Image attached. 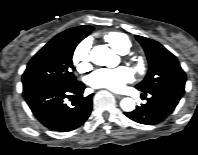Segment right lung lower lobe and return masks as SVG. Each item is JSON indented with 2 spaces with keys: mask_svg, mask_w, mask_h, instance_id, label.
<instances>
[{
  "mask_svg": "<svg viewBox=\"0 0 198 155\" xmlns=\"http://www.w3.org/2000/svg\"><path fill=\"white\" fill-rule=\"evenodd\" d=\"M85 86L77 82L63 86L50 82L23 84V96L35 117L48 129L69 132L81 126L92 110L93 94L83 97ZM65 98L73 100L70 106Z\"/></svg>",
  "mask_w": 198,
  "mask_h": 155,
  "instance_id": "obj_1",
  "label": "right lung lower lobe"
}]
</instances>
